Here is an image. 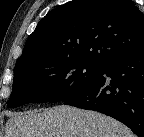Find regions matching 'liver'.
Segmentation results:
<instances>
[{"label": "liver", "mask_w": 144, "mask_h": 137, "mask_svg": "<svg viewBox=\"0 0 144 137\" xmlns=\"http://www.w3.org/2000/svg\"><path fill=\"white\" fill-rule=\"evenodd\" d=\"M5 137H135L121 122L96 111L60 105L11 113Z\"/></svg>", "instance_id": "1"}]
</instances>
